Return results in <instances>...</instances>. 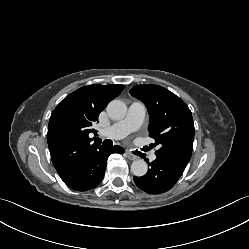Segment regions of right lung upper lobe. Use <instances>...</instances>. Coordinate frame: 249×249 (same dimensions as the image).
<instances>
[{
    "instance_id": "right-lung-upper-lobe-1",
    "label": "right lung upper lobe",
    "mask_w": 249,
    "mask_h": 249,
    "mask_svg": "<svg viewBox=\"0 0 249 249\" xmlns=\"http://www.w3.org/2000/svg\"><path fill=\"white\" fill-rule=\"evenodd\" d=\"M124 86L89 85L65 97L51 114L47 142L54 167L66 180L88 154L100 145L89 138L101 111L117 97Z\"/></svg>"
}]
</instances>
